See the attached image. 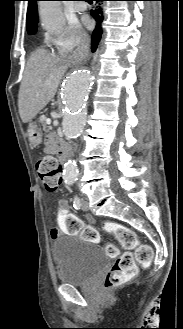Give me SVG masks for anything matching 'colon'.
I'll return each instance as SVG.
<instances>
[{
    "instance_id": "1",
    "label": "colon",
    "mask_w": 183,
    "mask_h": 329,
    "mask_svg": "<svg viewBox=\"0 0 183 329\" xmlns=\"http://www.w3.org/2000/svg\"><path fill=\"white\" fill-rule=\"evenodd\" d=\"M37 172L47 190L55 192L62 185V167L60 162L51 156H43L37 162ZM67 220H79L75 219ZM107 232L113 234L118 243L126 249H135L134 253L125 252L119 255V250L114 244L106 245V253L111 257H117L112 268L105 278V288H117L128 282L137 274V263L148 265L152 259L151 248L140 244L135 233L128 227L109 222L106 224Z\"/></svg>"
}]
</instances>
